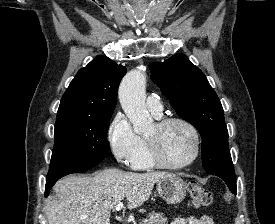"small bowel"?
Instances as JSON below:
<instances>
[{"label":"small bowel","mask_w":275,"mask_h":224,"mask_svg":"<svg viewBox=\"0 0 275 224\" xmlns=\"http://www.w3.org/2000/svg\"><path fill=\"white\" fill-rule=\"evenodd\" d=\"M171 224H214L213 220L208 215H202L200 217L188 215L184 217L175 218Z\"/></svg>","instance_id":"small-bowel-1"}]
</instances>
